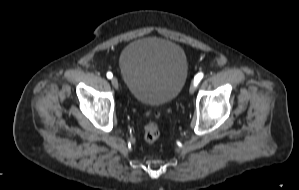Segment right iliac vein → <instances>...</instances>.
I'll use <instances>...</instances> for the list:
<instances>
[{
  "label": "right iliac vein",
  "instance_id": "right-iliac-vein-1",
  "mask_svg": "<svg viewBox=\"0 0 299 190\" xmlns=\"http://www.w3.org/2000/svg\"><path fill=\"white\" fill-rule=\"evenodd\" d=\"M111 83L115 88H118V79L116 77L111 79Z\"/></svg>",
  "mask_w": 299,
  "mask_h": 190
}]
</instances>
